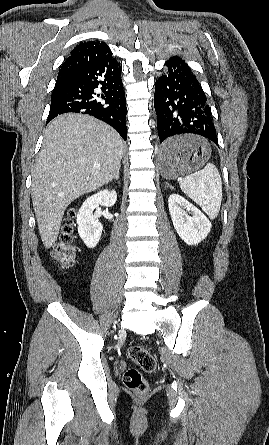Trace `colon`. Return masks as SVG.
Returning a JSON list of instances; mask_svg holds the SVG:
<instances>
[{"mask_svg":"<svg viewBox=\"0 0 269 445\" xmlns=\"http://www.w3.org/2000/svg\"><path fill=\"white\" fill-rule=\"evenodd\" d=\"M74 219L75 211L71 210L62 227L59 241L52 250L55 260L64 266L70 265L75 258V247L73 245ZM128 355L142 371L152 373L156 370V359L145 346H131L128 350ZM123 381L125 386L136 394L143 395L148 391V383L137 368L127 369L124 373Z\"/></svg>","mask_w":269,"mask_h":445,"instance_id":"5ec220e1","label":"colon"}]
</instances>
